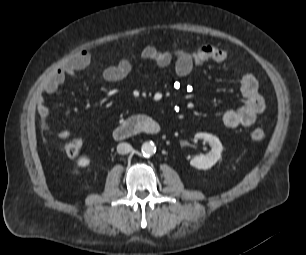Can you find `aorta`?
Wrapping results in <instances>:
<instances>
[{
	"label": "aorta",
	"instance_id": "obj_1",
	"mask_svg": "<svg viewBox=\"0 0 306 255\" xmlns=\"http://www.w3.org/2000/svg\"><path fill=\"white\" fill-rule=\"evenodd\" d=\"M141 152L143 153L144 156H152L156 152V146L155 144L150 141V142H145L141 146Z\"/></svg>",
	"mask_w": 306,
	"mask_h": 255
}]
</instances>
